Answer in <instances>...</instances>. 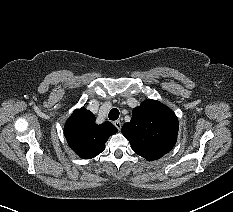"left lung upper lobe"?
<instances>
[{
    "label": "left lung upper lobe",
    "instance_id": "5c2ea615",
    "mask_svg": "<svg viewBox=\"0 0 233 212\" xmlns=\"http://www.w3.org/2000/svg\"><path fill=\"white\" fill-rule=\"evenodd\" d=\"M179 123L174 112L157 100H145L133 109L122 127L132 149L149 161L161 158L176 143Z\"/></svg>",
    "mask_w": 233,
    "mask_h": 212
}]
</instances>
